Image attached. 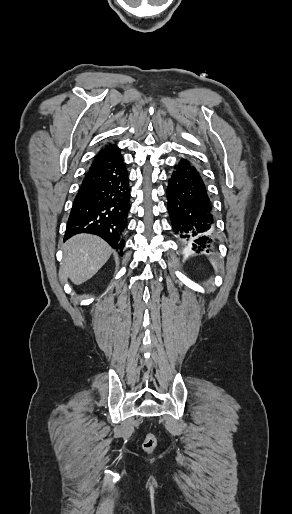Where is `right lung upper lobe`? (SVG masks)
<instances>
[{
  "label": "right lung upper lobe",
  "instance_id": "right-lung-upper-lobe-1",
  "mask_svg": "<svg viewBox=\"0 0 292 514\" xmlns=\"http://www.w3.org/2000/svg\"><path fill=\"white\" fill-rule=\"evenodd\" d=\"M120 154V149L114 145H111L110 143L108 145H105L95 156L94 162H101L107 158L117 156Z\"/></svg>",
  "mask_w": 292,
  "mask_h": 514
}]
</instances>
